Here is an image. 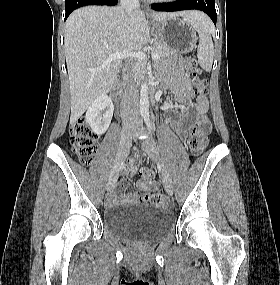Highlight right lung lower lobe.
<instances>
[{
    "mask_svg": "<svg viewBox=\"0 0 280 285\" xmlns=\"http://www.w3.org/2000/svg\"><path fill=\"white\" fill-rule=\"evenodd\" d=\"M118 3V0H66V14H65V20L70 15V13L82 6L86 5H116Z\"/></svg>",
    "mask_w": 280,
    "mask_h": 285,
    "instance_id": "98d812e1",
    "label": "right lung lower lobe"
}]
</instances>
